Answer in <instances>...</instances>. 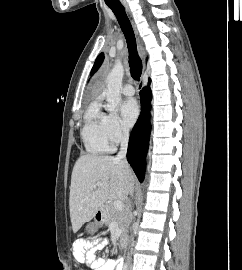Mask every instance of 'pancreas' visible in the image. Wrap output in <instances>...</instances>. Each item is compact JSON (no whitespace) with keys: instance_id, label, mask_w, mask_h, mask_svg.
<instances>
[{"instance_id":"1","label":"pancreas","mask_w":242,"mask_h":270,"mask_svg":"<svg viewBox=\"0 0 242 270\" xmlns=\"http://www.w3.org/2000/svg\"><path fill=\"white\" fill-rule=\"evenodd\" d=\"M105 212V223L110 224L111 222H117L120 231L124 232L129 224V216L126 210L118 211L115 209L113 203H109L104 208Z\"/></svg>"}]
</instances>
